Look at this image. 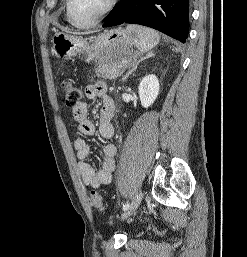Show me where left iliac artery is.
<instances>
[{
    "mask_svg": "<svg viewBox=\"0 0 247 257\" xmlns=\"http://www.w3.org/2000/svg\"><path fill=\"white\" fill-rule=\"evenodd\" d=\"M129 207V202L127 201L124 205H123V210H127Z\"/></svg>",
    "mask_w": 247,
    "mask_h": 257,
    "instance_id": "1",
    "label": "left iliac artery"
}]
</instances>
